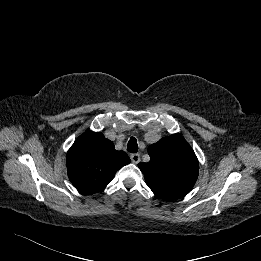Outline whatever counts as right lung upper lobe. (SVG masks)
<instances>
[{"label":"right lung upper lobe","instance_id":"obj_1","mask_svg":"<svg viewBox=\"0 0 261 261\" xmlns=\"http://www.w3.org/2000/svg\"><path fill=\"white\" fill-rule=\"evenodd\" d=\"M129 163L128 155L115 150L114 144L99 132L82 134L67 153L68 177L86 194L102 191L115 173Z\"/></svg>","mask_w":261,"mask_h":261}]
</instances>
